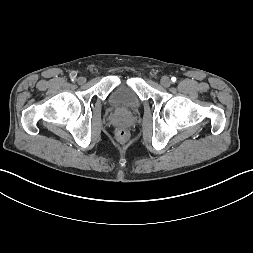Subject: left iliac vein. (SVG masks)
<instances>
[{"label": "left iliac vein", "mask_w": 253, "mask_h": 253, "mask_svg": "<svg viewBox=\"0 0 253 253\" xmlns=\"http://www.w3.org/2000/svg\"><path fill=\"white\" fill-rule=\"evenodd\" d=\"M160 83L163 87H169L171 85V80L169 77L167 76H163L160 80Z\"/></svg>", "instance_id": "4c4485c4"}]
</instances>
